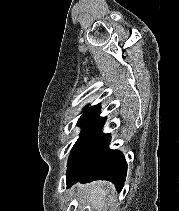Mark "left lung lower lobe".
<instances>
[{
	"label": "left lung lower lobe",
	"instance_id": "0a47b994",
	"mask_svg": "<svg viewBox=\"0 0 179 211\" xmlns=\"http://www.w3.org/2000/svg\"><path fill=\"white\" fill-rule=\"evenodd\" d=\"M105 117H99L89 129L78 150L68 162L67 187L76 182L108 180L121 191L127 172L125 157L120 151L109 149L110 134L101 132Z\"/></svg>",
	"mask_w": 179,
	"mask_h": 211
}]
</instances>
